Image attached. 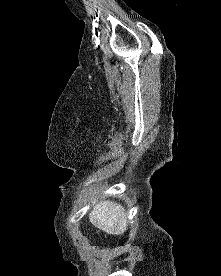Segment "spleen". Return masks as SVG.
<instances>
[{"label": "spleen", "instance_id": "obj_1", "mask_svg": "<svg viewBox=\"0 0 221 276\" xmlns=\"http://www.w3.org/2000/svg\"><path fill=\"white\" fill-rule=\"evenodd\" d=\"M89 220L98 229L111 234L121 235L127 230V213L124 208L112 201H101L93 207Z\"/></svg>", "mask_w": 221, "mask_h": 276}]
</instances>
